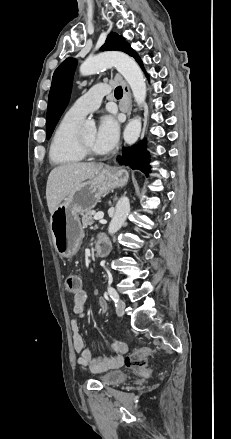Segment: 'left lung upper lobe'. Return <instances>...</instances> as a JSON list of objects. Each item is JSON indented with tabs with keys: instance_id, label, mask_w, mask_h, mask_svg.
Here are the masks:
<instances>
[{
	"instance_id": "1",
	"label": "left lung upper lobe",
	"mask_w": 231,
	"mask_h": 439,
	"mask_svg": "<svg viewBox=\"0 0 231 439\" xmlns=\"http://www.w3.org/2000/svg\"><path fill=\"white\" fill-rule=\"evenodd\" d=\"M101 50L123 51L133 58L137 56V53L130 47L126 40L117 33H110L108 35ZM76 65L77 61L75 59L67 58L53 74L46 118L47 139L51 137L59 118L68 105Z\"/></svg>"
}]
</instances>
